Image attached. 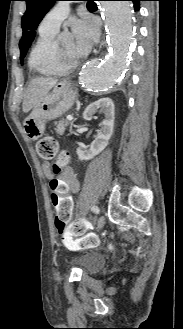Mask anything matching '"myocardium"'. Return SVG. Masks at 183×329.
Returning a JSON list of instances; mask_svg holds the SVG:
<instances>
[{"instance_id":"1","label":"myocardium","mask_w":183,"mask_h":329,"mask_svg":"<svg viewBox=\"0 0 183 329\" xmlns=\"http://www.w3.org/2000/svg\"><path fill=\"white\" fill-rule=\"evenodd\" d=\"M87 56L84 54L82 57L73 62H67L63 52L59 46L55 50V64L58 71L64 75L69 74L79 68L86 60Z\"/></svg>"}]
</instances>
